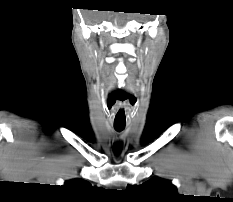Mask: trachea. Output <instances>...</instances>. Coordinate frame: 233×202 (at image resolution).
<instances>
[{
  "mask_svg": "<svg viewBox=\"0 0 233 202\" xmlns=\"http://www.w3.org/2000/svg\"><path fill=\"white\" fill-rule=\"evenodd\" d=\"M116 131L121 132L124 130L125 125H114Z\"/></svg>",
  "mask_w": 233,
  "mask_h": 202,
  "instance_id": "1",
  "label": "trachea"
}]
</instances>
